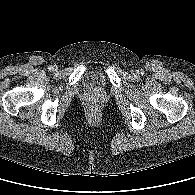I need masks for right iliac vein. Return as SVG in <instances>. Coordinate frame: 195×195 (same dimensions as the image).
I'll return each instance as SVG.
<instances>
[{"instance_id":"1","label":"right iliac vein","mask_w":195,"mask_h":195,"mask_svg":"<svg viewBox=\"0 0 195 195\" xmlns=\"http://www.w3.org/2000/svg\"><path fill=\"white\" fill-rule=\"evenodd\" d=\"M53 70H54V71H57V70H58V67H57V66H56V67H54V68H53Z\"/></svg>"}]
</instances>
